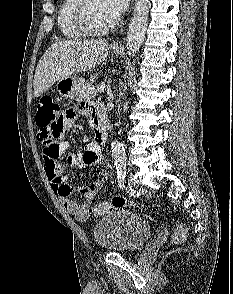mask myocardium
Masks as SVG:
<instances>
[{
	"label": "myocardium",
	"mask_w": 233,
	"mask_h": 294,
	"mask_svg": "<svg viewBox=\"0 0 233 294\" xmlns=\"http://www.w3.org/2000/svg\"><path fill=\"white\" fill-rule=\"evenodd\" d=\"M91 0H78L75 11L74 19L78 27L89 36H102L109 33L118 24V20H115L111 24L96 28L92 25L89 17V7Z\"/></svg>",
	"instance_id": "obj_1"
}]
</instances>
